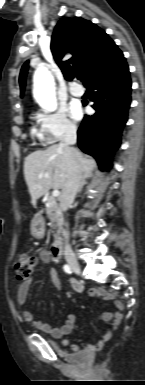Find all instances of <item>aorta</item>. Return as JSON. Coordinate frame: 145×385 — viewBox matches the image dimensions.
Segmentation results:
<instances>
[{"mask_svg": "<svg viewBox=\"0 0 145 385\" xmlns=\"http://www.w3.org/2000/svg\"><path fill=\"white\" fill-rule=\"evenodd\" d=\"M33 96L45 112H54L57 109L55 81L45 64H40L34 72Z\"/></svg>", "mask_w": 145, "mask_h": 385, "instance_id": "1", "label": "aorta"}]
</instances>
